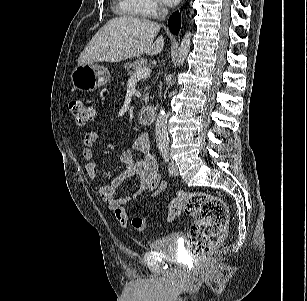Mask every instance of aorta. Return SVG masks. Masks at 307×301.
I'll return each mask as SVG.
<instances>
[{
	"mask_svg": "<svg viewBox=\"0 0 307 301\" xmlns=\"http://www.w3.org/2000/svg\"><path fill=\"white\" fill-rule=\"evenodd\" d=\"M191 46V33L186 32L184 35L179 49L177 57V66H180L185 61ZM155 132H156V143L158 148L168 147V131H167V115L163 107H161L156 123H155Z\"/></svg>",
	"mask_w": 307,
	"mask_h": 301,
	"instance_id": "762f6f07",
	"label": "aorta"
}]
</instances>
